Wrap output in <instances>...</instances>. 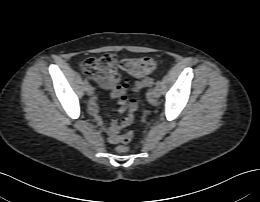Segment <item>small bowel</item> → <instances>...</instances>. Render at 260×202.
Segmentation results:
<instances>
[{
	"mask_svg": "<svg viewBox=\"0 0 260 202\" xmlns=\"http://www.w3.org/2000/svg\"><path fill=\"white\" fill-rule=\"evenodd\" d=\"M113 99L118 101V112L123 116L120 119H113L111 123L104 126V130L109 136V142L112 144L118 143L117 137L120 131L129 126L134 120V113L138 108V103L135 99L128 100L127 84H119L115 78L107 84H101ZM88 109L96 123L103 126V120L98 110L97 98L93 97L88 104Z\"/></svg>",
	"mask_w": 260,
	"mask_h": 202,
	"instance_id": "small-bowel-1",
	"label": "small bowel"
}]
</instances>
